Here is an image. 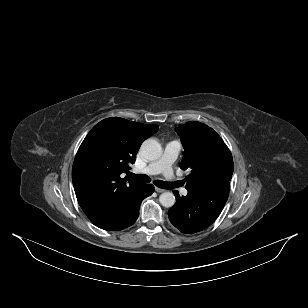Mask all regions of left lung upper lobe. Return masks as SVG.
Listing matches in <instances>:
<instances>
[{"mask_svg":"<svg viewBox=\"0 0 308 308\" xmlns=\"http://www.w3.org/2000/svg\"><path fill=\"white\" fill-rule=\"evenodd\" d=\"M176 131L184 147L180 168L191 170L186 178L188 192L231 180L234 170L231 152L212 128L200 122H187Z\"/></svg>","mask_w":308,"mask_h":308,"instance_id":"5c2ea615","label":"left lung upper lobe"}]
</instances>
